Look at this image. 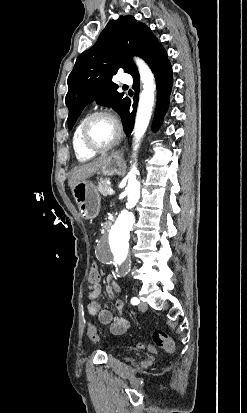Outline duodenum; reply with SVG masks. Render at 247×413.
<instances>
[{"mask_svg":"<svg viewBox=\"0 0 247 413\" xmlns=\"http://www.w3.org/2000/svg\"><path fill=\"white\" fill-rule=\"evenodd\" d=\"M110 227H111V221H106L104 223V230L108 231L110 229Z\"/></svg>","mask_w":247,"mask_h":413,"instance_id":"duodenum-1","label":"duodenum"}]
</instances>
